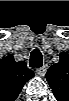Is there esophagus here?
Instances as JSON below:
<instances>
[{
    "instance_id": "34e87169",
    "label": "esophagus",
    "mask_w": 69,
    "mask_h": 101,
    "mask_svg": "<svg viewBox=\"0 0 69 101\" xmlns=\"http://www.w3.org/2000/svg\"><path fill=\"white\" fill-rule=\"evenodd\" d=\"M46 70H47L46 66H42V67L36 69V73L40 77H43L45 75V73H46Z\"/></svg>"
}]
</instances>
